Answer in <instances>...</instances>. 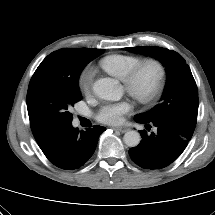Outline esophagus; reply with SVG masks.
<instances>
[{"label": "esophagus", "instance_id": "34e87169", "mask_svg": "<svg viewBox=\"0 0 215 215\" xmlns=\"http://www.w3.org/2000/svg\"><path fill=\"white\" fill-rule=\"evenodd\" d=\"M113 130H115V131H119V132H121V133H125V132H127L129 129L127 128V127H114L113 128Z\"/></svg>", "mask_w": 215, "mask_h": 215}]
</instances>
